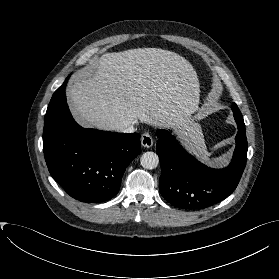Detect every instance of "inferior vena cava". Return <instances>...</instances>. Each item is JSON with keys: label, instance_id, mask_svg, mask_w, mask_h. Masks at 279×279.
I'll use <instances>...</instances> for the list:
<instances>
[{"label": "inferior vena cava", "instance_id": "1", "mask_svg": "<svg viewBox=\"0 0 279 279\" xmlns=\"http://www.w3.org/2000/svg\"><path fill=\"white\" fill-rule=\"evenodd\" d=\"M134 130H135V129H134V127H133V124H131V125L125 127V128L120 129V132L132 133V132H134Z\"/></svg>", "mask_w": 279, "mask_h": 279}]
</instances>
